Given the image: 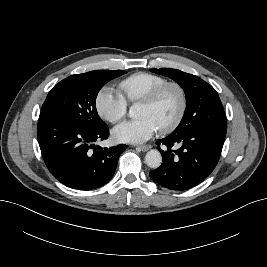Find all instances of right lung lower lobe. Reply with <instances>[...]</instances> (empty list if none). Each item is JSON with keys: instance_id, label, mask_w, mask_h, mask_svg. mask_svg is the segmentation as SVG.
<instances>
[{"instance_id": "right-lung-lower-lobe-1", "label": "right lung lower lobe", "mask_w": 267, "mask_h": 267, "mask_svg": "<svg viewBox=\"0 0 267 267\" xmlns=\"http://www.w3.org/2000/svg\"><path fill=\"white\" fill-rule=\"evenodd\" d=\"M108 135V126L90 130L48 111H41L38 120L37 137L47 168L62 184L77 190L101 187L114 175L128 146H94Z\"/></svg>"}]
</instances>
